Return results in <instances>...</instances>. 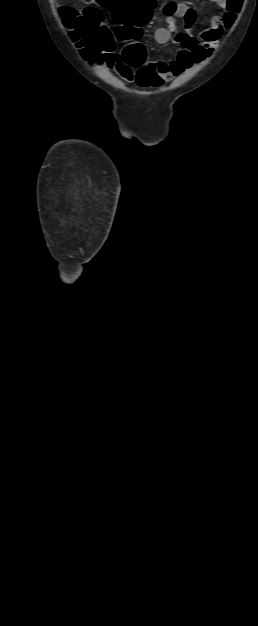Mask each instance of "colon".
I'll list each match as a JSON object with an SVG mask.
<instances>
[{"label":"colon","instance_id":"1","mask_svg":"<svg viewBox=\"0 0 258 626\" xmlns=\"http://www.w3.org/2000/svg\"><path fill=\"white\" fill-rule=\"evenodd\" d=\"M82 10L62 6L60 13L70 36L83 57L90 62H100L114 55V36L104 23L101 9L113 10L119 40H136L141 27L149 20L156 0H85ZM243 0H227L224 23L229 26L239 12ZM123 58L130 65L139 67L145 63L146 51L141 44L128 45Z\"/></svg>","mask_w":258,"mask_h":626}]
</instances>
